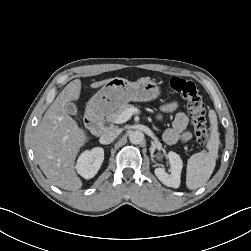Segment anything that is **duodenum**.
Returning a JSON list of instances; mask_svg holds the SVG:
<instances>
[{"label": "duodenum", "mask_w": 251, "mask_h": 251, "mask_svg": "<svg viewBox=\"0 0 251 251\" xmlns=\"http://www.w3.org/2000/svg\"><path fill=\"white\" fill-rule=\"evenodd\" d=\"M86 124L93 134L99 136L104 131L103 115L100 112L92 111L86 119Z\"/></svg>", "instance_id": "1"}]
</instances>
